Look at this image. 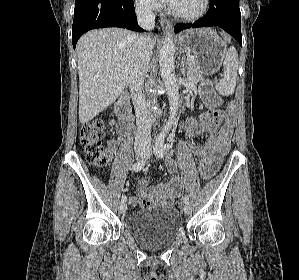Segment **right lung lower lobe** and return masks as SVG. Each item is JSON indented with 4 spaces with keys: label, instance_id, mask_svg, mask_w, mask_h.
<instances>
[{
    "label": "right lung lower lobe",
    "instance_id": "98d812e1",
    "mask_svg": "<svg viewBox=\"0 0 299 280\" xmlns=\"http://www.w3.org/2000/svg\"><path fill=\"white\" fill-rule=\"evenodd\" d=\"M105 27H120L137 32L139 27L133 0H75L72 43L87 31Z\"/></svg>",
    "mask_w": 299,
    "mask_h": 280
}]
</instances>
